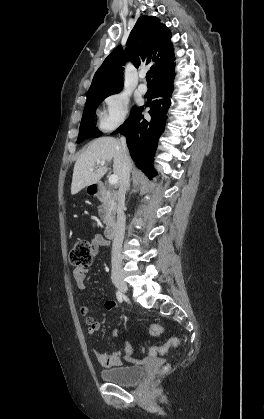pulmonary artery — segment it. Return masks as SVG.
Listing matches in <instances>:
<instances>
[{
  "instance_id": "obj_1",
  "label": "pulmonary artery",
  "mask_w": 264,
  "mask_h": 419,
  "mask_svg": "<svg viewBox=\"0 0 264 419\" xmlns=\"http://www.w3.org/2000/svg\"><path fill=\"white\" fill-rule=\"evenodd\" d=\"M140 78L141 79H143L144 78V74H141L140 75ZM138 90H139V92L140 93H142V94H145L146 92H147V86H146V84H144V83H140L139 85H138Z\"/></svg>"
}]
</instances>
